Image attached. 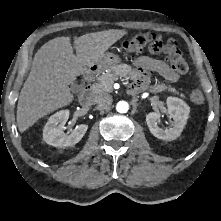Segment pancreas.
Instances as JSON below:
<instances>
[{
  "label": "pancreas",
  "instance_id": "pancreas-1",
  "mask_svg": "<svg viewBox=\"0 0 221 221\" xmlns=\"http://www.w3.org/2000/svg\"><path fill=\"white\" fill-rule=\"evenodd\" d=\"M119 77H124L126 79H136L137 70L128 64L112 66L107 70L106 73L100 75L97 78L98 82L93 86V91L95 93L112 92L113 83L114 81H117ZM165 89H167L168 92L179 95V92L170 85L166 86ZM180 95L183 97L182 94Z\"/></svg>",
  "mask_w": 221,
  "mask_h": 221
}]
</instances>
